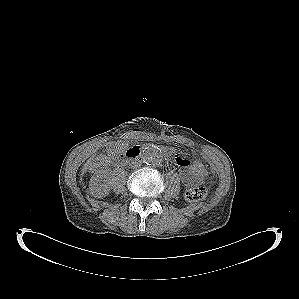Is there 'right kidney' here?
<instances>
[{
    "label": "right kidney",
    "instance_id": "1",
    "mask_svg": "<svg viewBox=\"0 0 299 299\" xmlns=\"http://www.w3.org/2000/svg\"><path fill=\"white\" fill-rule=\"evenodd\" d=\"M90 191L94 197L102 198L109 194L110 187L106 179V171L100 170L90 180Z\"/></svg>",
    "mask_w": 299,
    "mask_h": 299
}]
</instances>
